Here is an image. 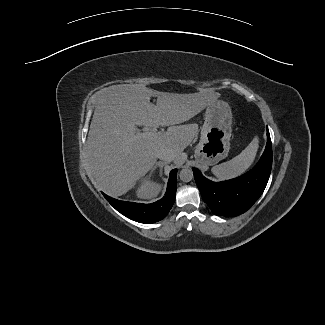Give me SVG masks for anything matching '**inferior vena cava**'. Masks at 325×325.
Segmentation results:
<instances>
[{
  "mask_svg": "<svg viewBox=\"0 0 325 325\" xmlns=\"http://www.w3.org/2000/svg\"><path fill=\"white\" fill-rule=\"evenodd\" d=\"M157 157L160 159V160H163L165 162H171L174 160V154L169 151V150H165V149H162L160 150L158 153H157Z\"/></svg>",
  "mask_w": 325,
  "mask_h": 325,
  "instance_id": "1",
  "label": "inferior vena cava"
}]
</instances>
